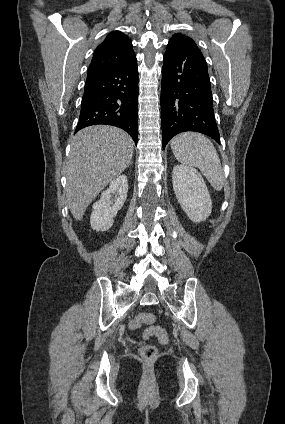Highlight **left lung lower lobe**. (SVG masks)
<instances>
[{"label":"left lung lower lobe","mask_w":285,"mask_h":424,"mask_svg":"<svg viewBox=\"0 0 285 424\" xmlns=\"http://www.w3.org/2000/svg\"><path fill=\"white\" fill-rule=\"evenodd\" d=\"M163 61V148L172 137L185 131L203 133L219 143L207 63L200 49L192 39L172 37Z\"/></svg>","instance_id":"left-lung-lower-lobe-1"}]
</instances>
